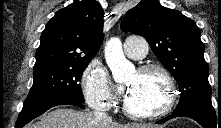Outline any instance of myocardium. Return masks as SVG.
Listing matches in <instances>:
<instances>
[{
    "mask_svg": "<svg viewBox=\"0 0 221 128\" xmlns=\"http://www.w3.org/2000/svg\"><path fill=\"white\" fill-rule=\"evenodd\" d=\"M150 72H155L159 74L164 80L166 87L165 100L162 102L161 105L157 106L156 109H148L136 112L129 107L126 99H124L122 103L123 111L128 117L132 119L147 120V119H154L157 117H161L167 114L172 109L175 103L177 96L176 85L170 71L166 69L164 66L154 63H148L142 65L137 70L138 75H143Z\"/></svg>",
    "mask_w": 221,
    "mask_h": 128,
    "instance_id": "1",
    "label": "myocardium"
}]
</instances>
